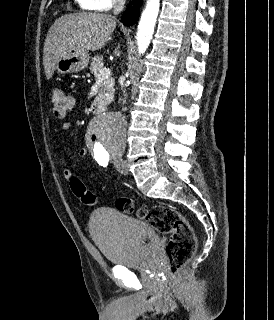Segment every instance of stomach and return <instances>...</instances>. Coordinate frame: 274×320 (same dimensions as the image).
I'll list each match as a JSON object with an SVG mask.
<instances>
[{
    "instance_id": "1",
    "label": "stomach",
    "mask_w": 274,
    "mask_h": 320,
    "mask_svg": "<svg viewBox=\"0 0 274 320\" xmlns=\"http://www.w3.org/2000/svg\"><path fill=\"white\" fill-rule=\"evenodd\" d=\"M90 54L88 52H79V50H70L67 54L61 56L55 66L58 74H74L85 70L89 64Z\"/></svg>"
}]
</instances>
